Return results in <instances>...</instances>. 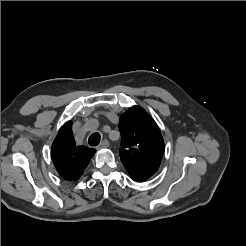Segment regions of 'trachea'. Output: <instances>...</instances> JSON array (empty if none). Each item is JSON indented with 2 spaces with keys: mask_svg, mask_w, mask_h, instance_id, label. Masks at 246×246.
Returning <instances> with one entry per match:
<instances>
[{
  "mask_svg": "<svg viewBox=\"0 0 246 246\" xmlns=\"http://www.w3.org/2000/svg\"><path fill=\"white\" fill-rule=\"evenodd\" d=\"M101 136L99 133H93L88 139V143L91 146H97L100 143Z\"/></svg>",
  "mask_w": 246,
  "mask_h": 246,
  "instance_id": "1",
  "label": "trachea"
}]
</instances>
